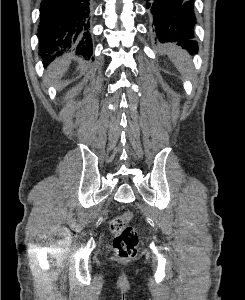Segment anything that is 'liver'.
Instances as JSON below:
<instances>
[{"label": "liver", "mask_w": 245, "mask_h": 300, "mask_svg": "<svg viewBox=\"0 0 245 300\" xmlns=\"http://www.w3.org/2000/svg\"><path fill=\"white\" fill-rule=\"evenodd\" d=\"M69 65H70L69 59H62L60 61H57L56 63H53L48 69L50 80L55 83L59 79H61L65 74V72L67 71Z\"/></svg>", "instance_id": "liver-1"}]
</instances>
